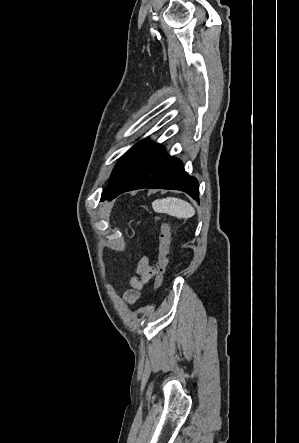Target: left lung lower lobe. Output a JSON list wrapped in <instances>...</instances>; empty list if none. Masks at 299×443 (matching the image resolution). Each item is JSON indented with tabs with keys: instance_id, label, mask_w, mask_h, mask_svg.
Returning <instances> with one entry per match:
<instances>
[{
	"instance_id": "0a47b994",
	"label": "left lung lower lobe",
	"mask_w": 299,
	"mask_h": 443,
	"mask_svg": "<svg viewBox=\"0 0 299 443\" xmlns=\"http://www.w3.org/2000/svg\"><path fill=\"white\" fill-rule=\"evenodd\" d=\"M141 188L174 189L184 191L199 200L196 178L189 176L179 159L166 154L164 147H156L137 162L111 189L102 193L101 200Z\"/></svg>"
}]
</instances>
